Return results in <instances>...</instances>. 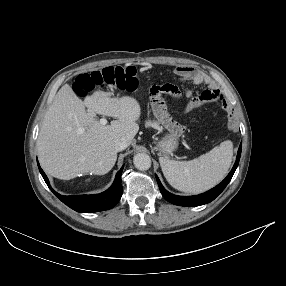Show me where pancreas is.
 <instances>
[{"label": "pancreas", "mask_w": 286, "mask_h": 286, "mask_svg": "<svg viewBox=\"0 0 286 286\" xmlns=\"http://www.w3.org/2000/svg\"><path fill=\"white\" fill-rule=\"evenodd\" d=\"M146 126H152V127H154V128H158V127H159V126H158V123H156V122H154V123L147 122V123H146Z\"/></svg>", "instance_id": "1"}]
</instances>
